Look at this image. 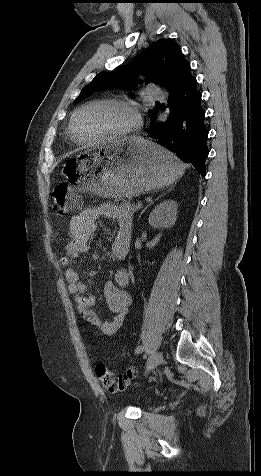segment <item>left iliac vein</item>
<instances>
[{"instance_id": "4c4485c4", "label": "left iliac vein", "mask_w": 261, "mask_h": 476, "mask_svg": "<svg viewBox=\"0 0 261 476\" xmlns=\"http://www.w3.org/2000/svg\"><path fill=\"white\" fill-rule=\"evenodd\" d=\"M163 361V355L161 352H156L152 354L147 362L146 373H149L154 368H156Z\"/></svg>"}]
</instances>
